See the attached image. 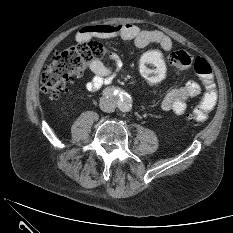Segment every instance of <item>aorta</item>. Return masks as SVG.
<instances>
[{
  "mask_svg": "<svg viewBox=\"0 0 233 233\" xmlns=\"http://www.w3.org/2000/svg\"><path fill=\"white\" fill-rule=\"evenodd\" d=\"M132 109V99L129 96H124L120 102V110L128 112Z\"/></svg>",
  "mask_w": 233,
  "mask_h": 233,
  "instance_id": "1",
  "label": "aorta"
}]
</instances>
